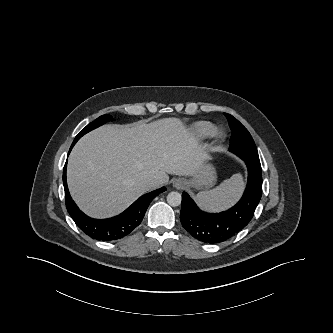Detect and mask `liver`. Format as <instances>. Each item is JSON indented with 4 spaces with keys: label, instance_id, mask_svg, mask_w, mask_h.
Wrapping results in <instances>:
<instances>
[{
    "label": "liver",
    "instance_id": "obj_1",
    "mask_svg": "<svg viewBox=\"0 0 333 333\" xmlns=\"http://www.w3.org/2000/svg\"><path fill=\"white\" fill-rule=\"evenodd\" d=\"M207 158L205 148L177 118L105 125L74 146L67 182L84 213L106 218L167 183L168 174L194 176ZM148 179L156 183L150 185Z\"/></svg>",
    "mask_w": 333,
    "mask_h": 333
}]
</instances>
